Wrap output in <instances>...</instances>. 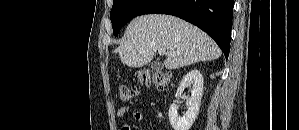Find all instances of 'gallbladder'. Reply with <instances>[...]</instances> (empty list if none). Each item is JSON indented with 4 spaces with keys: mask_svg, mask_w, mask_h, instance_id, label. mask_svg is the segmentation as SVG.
Masks as SVG:
<instances>
[{
    "mask_svg": "<svg viewBox=\"0 0 299 130\" xmlns=\"http://www.w3.org/2000/svg\"><path fill=\"white\" fill-rule=\"evenodd\" d=\"M162 66L163 65L161 63H159V62H153L151 64V68L154 69V70H160L162 68Z\"/></svg>",
    "mask_w": 299,
    "mask_h": 130,
    "instance_id": "1",
    "label": "gallbladder"
}]
</instances>
